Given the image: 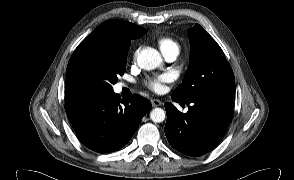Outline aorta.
<instances>
[{
	"instance_id": "762f6f07",
	"label": "aorta",
	"mask_w": 294,
	"mask_h": 180,
	"mask_svg": "<svg viewBox=\"0 0 294 180\" xmlns=\"http://www.w3.org/2000/svg\"><path fill=\"white\" fill-rule=\"evenodd\" d=\"M138 65L145 70H153L162 64L160 53L153 48H144L138 55ZM166 113L162 108H155L150 112V118L155 123L165 120Z\"/></svg>"
}]
</instances>
